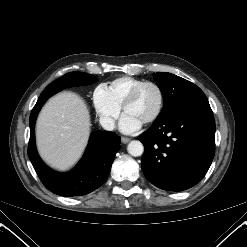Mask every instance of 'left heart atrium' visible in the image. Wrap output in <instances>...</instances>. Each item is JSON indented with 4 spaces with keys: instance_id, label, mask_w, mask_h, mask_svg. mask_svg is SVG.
Segmentation results:
<instances>
[{
    "instance_id": "obj_1",
    "label": "left heart atrium",
    "mask_w": 247,
    "mask_h": 247,
    "mask_svg": "<svg viewBox=\"0 0 247 247\" xmlns=\"http://www.w3.org/2000/svg\"><path fill=\"white\" fill-rule=\"evenodd\" d=\"M142 124L143 122L136 117L128 113H124L120 119L119 127L122 132L129 134L139 130Z\"/></svg>"
}]
</instances>
